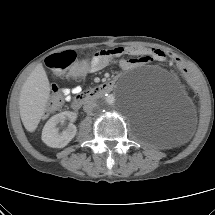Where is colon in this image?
<instances>
[{"instance_id":"obj_1","label":"colon","mask_w":215,"mask_h":215,"mask_svg":"<svg viewBox=\"0 0 215 215\" xmlns=\"http://www.w3.org/2000/svg\"><path fill=\"white\" fill-rule=\"evenodd\" d=\"M165 55L172 59L173 64L179 70L180 75L188 80L190 88L193 90L196 89L198 84L191 67L179 58L180 56L178 53L171 49L166 51ZM76 60V53L72 50H68L50 55L46 58L45 63L53 72L59 73L62 71L63 80L65 82H72L80 75H84L86 73V69L91 67V60L88 57H81L79 62ZM52 90L53 95L48 105V111L50 112L57 110L62 105V98L59 94L58 88L53 86Z\"/></svg>"}]
</instances>
